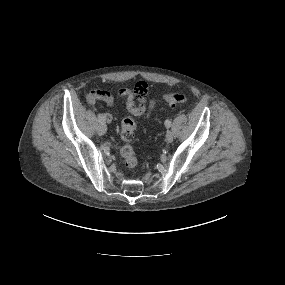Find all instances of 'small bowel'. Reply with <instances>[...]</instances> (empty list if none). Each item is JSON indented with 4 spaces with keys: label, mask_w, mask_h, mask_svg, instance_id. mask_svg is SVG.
Masks as SVG:
<instances>
[{
    "label": "small bowel",
    "mask_w": 285,
    "mask_h": 285,
    "mask_svg": "<svg viewBox=\"0 0 285 285\" xmlns=\"http://www.w3.org/2000/svg\"><path fill=\"white\" fill-rule=\"evenodd\" d=\"M120 100H124L127 110L135 116H144L150 118L155 107L156 99H148V86L141 92L136 93L135 90L122 88L113 94L106 90L95 89L87 93L85 101L88 105H94L99 101L105 102L110 106L116 105ZM104 121L111 122L112 116L109 113L101 114Z\"/></svg>",
    "instance_id": "c3829d8e"
}]
</instances>
